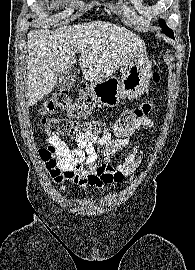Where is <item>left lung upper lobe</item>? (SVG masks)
I'll return each instance as SVG.
<instances>
[{
  "instance_id": "obj_1",
  "label": "left lung upper lobe",
  "mask_w": 195,
  "mask_h": 270,
  "mask_svg": "<svg viewBox=\"0 0 195 270\" xmlns=\"http://www.w3.org/2000/svg\"><path fill=\"white\" fill-rule=\"evenodd\" d=\"M159 24L162 27V31L170 36H173V31L171 29H169L165 24H164V20H159Z\"/></svg>"
}]
</instances>
